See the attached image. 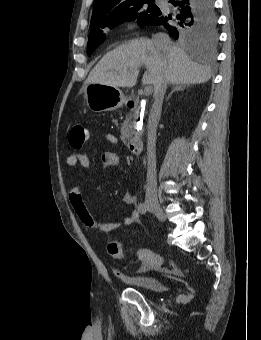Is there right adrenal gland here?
Masks as SVG:
<instances>
[{
  "label": "right adrenal gland",
  "instance_id": "right-adrenal-gland-1",
  "mask_svg": "<svg viewBox=\"0 0 261 340\" xmlns=\"http://www.w3.org/2000/svg\"><path fill=\"white\" fill-rule=\"evenodd\" d=\"M186 84H175L172 87V91L170 92V94L168 95V97L166 98V101L169 100V98L171 97V95L175 92V91H180V90H184L186 88Z\"/></svg>",
  "mask_w": 261,
  "mask_h": 340
}]
</instances>
